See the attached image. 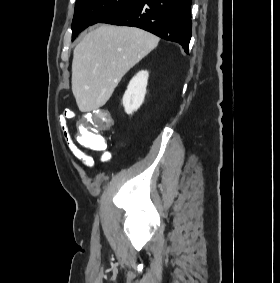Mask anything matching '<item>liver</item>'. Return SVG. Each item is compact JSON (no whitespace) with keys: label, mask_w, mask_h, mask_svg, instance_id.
Masks as SVG:
<instances>
[{"label":"liver","mask_w":280,"mask_h":283,"mask_svg":"<svg viewBox=\"0 0 280 283\" xmlns=\"http://www.w3.org/2000/svg\"><path fill=\"white\" fill-rule=\"evenodd\" d=\"M159 42L135 27L100 25L75 47L72 92L81 112L106 104L122 77Z\"/></svg>","instance_id":"6515ba94"}]
</instances>
